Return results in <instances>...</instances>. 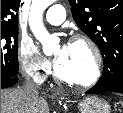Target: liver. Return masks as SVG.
I'll return each instance as SVG.
<instances>
[{
  "instance_id": "liver-1",
  "label": "liver",
  "mask_w": 123,
  "mask_h": 113,
  "mask_svg": "<svg viewBox=\"0 0 123 113\" xmlns=\"http://www.w3.org/2000/svg\"><path fill=\"white\" fill-rule=\"evenodd\" d=\"M1 113H49L46 100L23 89L1 90Z\"/></svg>"
}]
</instances>
